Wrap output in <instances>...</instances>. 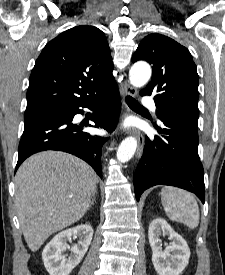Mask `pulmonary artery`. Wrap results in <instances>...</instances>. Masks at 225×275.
I'll return each instance as SVG.
<instances>
[{
	"mask_svg": "<svg viewBox=\"0 0 225 275\" xmlns=\"http://www.w3.org/2000/svg\"><path fill=\"white\" fill-rule=\"evenodd\" d=\"M142 105L144 107H148V108H151V109H155V103H154V100L150 97H144L143 100H142Z\"/></svg>",
	"mask_w": 225,
	"mask_h": 275,
	"instance_id": "e3ab8cb5",
	"label": "pulmonary artery"
}]
</instances>
